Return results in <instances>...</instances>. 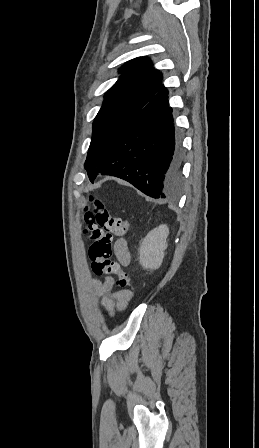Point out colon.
Segmentation results:
<instances>
[{
	"mask_svg": "<svg viewBox=\"0 0 259 448\" xmlns=\"http://www.w3.org/2000/svg\"><path fill=\"white\" fill-rule=\"evenodd\" d=\"M94 208H85L82 216L84 232L91 241L89 249L92 269L97 275H114L119 288L130 284V277L121 265L112 260L113 237H123L130 229V222L122 217H111L103 204L90 196Z\"/></svg>",
	"mask_w": 259,
	"mask_h": 448,
	"instance_id": "1",
	"label": "colon"
}]
</instances>
